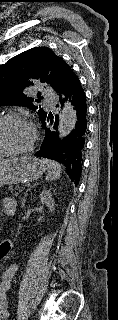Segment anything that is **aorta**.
<instances>
[{"label": "aorta", "instance_id": "1", "mask_svg": "<svg viewBox=\"0 0 118 320\" xmlns=\"http://www.w3.org/2000/svg\"><path fill=\"white\" fill-rule=\"evenodd\" d=\"M77 120L76 110L74 109V106L71 105V103H65L61 115H60V121H59V137L63 138L70 134V132L75 127Z\"/></svg>", "mask_w": 118, "mask_h": 320}]
</instances>
